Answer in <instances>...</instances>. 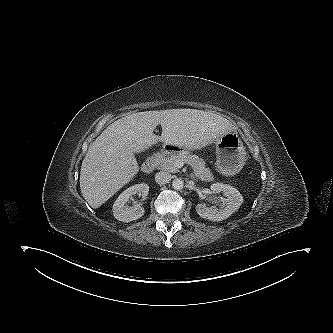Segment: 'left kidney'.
Instances as JSON below:
<instances>
[{
  "label": "left kidney",
  "instance_id": "left-kidney-1",
  "mask_svg": "<svg viewBox=\"0 0 333 333\" xmlns=\"http://www.w3.org/2000/svg\"><path fill=\"white\" fill-rule=\"evenodd\" d=\"M213 193H223L225 198H221L220 202L223 204V208L218 209L215 205L207 207L205 204H197L196 211L202 218L211 221H221L228 218L233 213L238 211L243 203V197L240 192L230 185L223 183H214L211 185Z\"/></svg>",
  "mask_w": 333,
  "mask_h": 333
}]
</instances>
